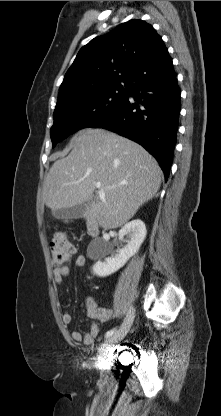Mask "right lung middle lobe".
<instances>
[{"instance_id":"dd1d6c3e","label":"right lung middle lobe","mask_w":221,"mask_h":416,"mask_svg":"<svg viewBox=\"0 0 221 416\" xmlns=\"http://www.w3.org/2000/svg\"><path fill=\"white\" fill-rule=\"evenodd\" d=\"M128 93L124 88L104 90L56 106L50 133L53 147L80 129L110 119Z\"/></svg>"}]
</instances>
